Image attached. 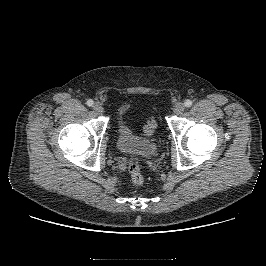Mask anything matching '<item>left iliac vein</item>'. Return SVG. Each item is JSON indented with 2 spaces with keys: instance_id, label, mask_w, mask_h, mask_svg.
<instances>
[{
  "instance_id": "left-iliac-vein-1",
  "label": "left iliac vein",
  "mask_w": 266,
  "mask_h": 266,
  "mask_svg": "<svg viewBox=\"0 0 266 266\" xmlns=\"http://www.w3.org/2000/svg\"><path fill=\"white\" fill-rule=\"evenodd\" d=\"M185 110V105L183 103H177L174 107V113L175 114H181Z\"/></svg>"
}]
</instances>
